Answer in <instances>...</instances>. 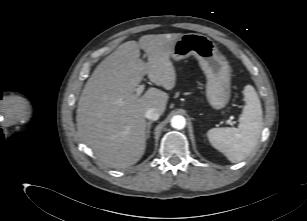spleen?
<instances>
[{
    "instance_id": "3e777b00",
    "label": "spleen",
    "mask_w": 307,
    "mask_h": 221,
    "mask_svg": "<svg viewBox=\"0 0 307 221\" xmlns=\"http://www.w3.org/2000/svg\"><path fill=\"white\" fill-rule=\"evenodd\" d=\"M245 106L239 117L238 128H212L207 137L214 148L233 163L249 156L257 146L263 125L261 102L251 85L244 88Z\"/></svg>"
}]
</instances>
